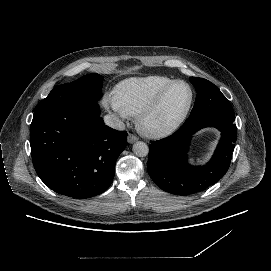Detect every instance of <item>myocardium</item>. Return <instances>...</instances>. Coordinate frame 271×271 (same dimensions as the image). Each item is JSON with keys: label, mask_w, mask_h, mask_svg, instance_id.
Masks as SVG:
<instances>
[{"label": "myocardium", "mask_w": 271, "mask_h": 271, "mask_svg": "<svg viewBox=\"0 0 271 271\" xmlns=\"http://www.w3.org/2000/svg\"><path fill=\"white\" fill-rule=\"evenodd\" d=\"M178 83H186L191 89V99L185 111L178 119H176L170 125L164 127L151 126L149 124V120L160 109L171 89ZM194 102H195V88L189 81L185 79H176L172 81L161 91V93L156 97V99L140 114L139 124L142 131L148 136L155 138L165 137L167 135L172 134L173 132L178 130L181 127V125L186 121L192 110Z\"/></svg>", "instance_id": "1"}]
</instances>
